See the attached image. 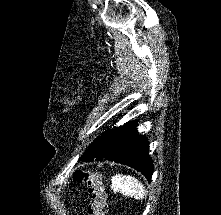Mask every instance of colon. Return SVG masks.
I'll list each match as a JSON object with an SVG mask.
<instances>
[{"label": "colon", "instance_id": "1", "mask_svg": "<svg viewBox=\"0 0 221 215\" xmlns=\"http://www.w3.org/2000/svg\"><path fill=\"white\" fill-rule=\"evenodd\" d=\"M74 178L77 182L84 183L88 187L91 196L89 205L90 215H107L108 201L105 186L102 182L101 175L86 169H79L75 172Z\"/></svg>", "mask_w": 221, "mask_h": 215}]
</instances>
